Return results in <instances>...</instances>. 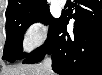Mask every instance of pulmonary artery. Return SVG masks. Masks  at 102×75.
Masks as SVG:
<instances>
[{"mask_svg":"<svg viewBox=\"0 0 102 75\" xmlns=\"http://www.w3.org/2000/svg\"><path fill=\"white\" fill-rule=\"evenodd\" d=\"M58 2H59L60 5H63L66 2V0H60Z\"/></svg>","mask_w":102,"mask_h":75,"instance_id":"e3ab8cb5","label":"pulmonary artery"}]
</instances>
